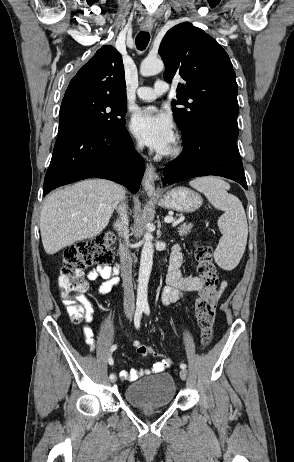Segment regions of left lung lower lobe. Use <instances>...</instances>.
Segmentation results:
<instances>
[{
    "label": "left lung lower lobe",
    "mask_w": 294,
    "mask_h": 462,
    "mask_svg": "<svg viewBox=\"0 0 294 462\" xmlns=\"http://www.w3.org/2000/svg\"><path fill=\"white\" fill-rule=\"evenodd\" d=\"M238 111L239 107L225 105L210 112L193 133L183 139L184 154L164 168V184L217 175L237 181L248 189L236 145Z\"/></svg>",
    "instance_id": "1"
}]
</instances>
